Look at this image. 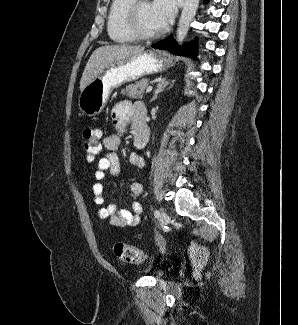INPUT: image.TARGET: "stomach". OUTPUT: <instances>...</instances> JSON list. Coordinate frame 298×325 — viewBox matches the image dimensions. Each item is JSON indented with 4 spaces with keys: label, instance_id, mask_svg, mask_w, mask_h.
Instances as JSON below:
<instances>
[{
    "label": "stomach",
    "instance_id": "stomach-1",
    "mask_svg": "<svg viewBox=\"0 0 298 325\" xmlns=\"http://www.w3.org/2000/svg\"><path fill=\"white\" fill-rule=\"evenodd\" d=\"M169 68L165 52L148 48L128 58H119L105 64L102 72L81 90L78 106L87 116H95L105 108L111 92L126 82H133L142 76L164 72Z\"/></svg>",
    "mask_w": 298,
    "mask_h": 325
}]
</instances>
